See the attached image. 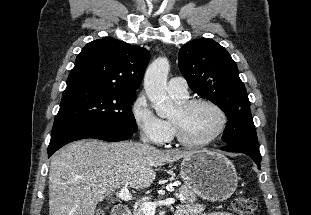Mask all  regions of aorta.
Segmentation results:
<instances>
[{"instance_id": "obj_1", "label": "aorta", "mask_w": 311, "mask_h": 215, "mask_svg": "<svg viewBox=\"0 0 311 215\" xmlns=\"http://www.w3.org/2000/svg\"><path fill=\"white\" fill-rule=\"evenodd\" d=\"M169 70L168 59L159 57L149 65L144 76L146 95L161 118L169 116L174 108L166 92Z\"/></svg>"}]
</instances>
